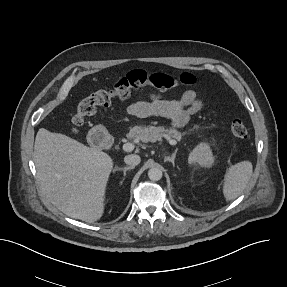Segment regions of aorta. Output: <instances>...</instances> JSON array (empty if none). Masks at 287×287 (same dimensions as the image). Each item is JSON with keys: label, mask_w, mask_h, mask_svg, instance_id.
I'll return each instance as SVG.
<instances>
[{"label": "aorta", "mask_w": 287, "mask_h": 287, "mask_svg": "<svg viewBox=\"0 0 287 287\" xmlns=\"http://www.w3.org/2000/svg\"><path fill=\"white\" fill-rule=\"evenodd\" d=\"M148 177L152 181H158L162 178V171L157 167H153L148 171Z\"/></svg>", "instance_id": "1"}]
</instances>
